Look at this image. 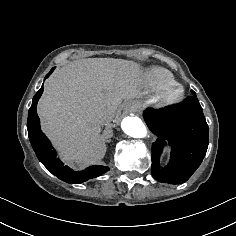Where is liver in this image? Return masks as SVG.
I'll list each match as a JSON object with an SVG mask.
<instances>
[{
  "mask_svg": "<svg viewBox=\"0 0 236 236\" xmlns=\"http://www.w3.org/2000/svg\"><path fill=\"white\" fill-rule=\"evenodd\" d=\"M140 65L123 59L88 58L58 69L45 83L37 112L41 128L63 161L81 168L104 158V116L123 99L139 97Z\"/></svg>",
  "mask_w": 236,
  "mask_h": 236,
  "instance_id": "liver-1",
  "label": "liver"
}]
</instances>
